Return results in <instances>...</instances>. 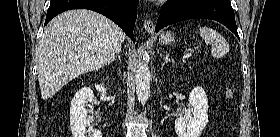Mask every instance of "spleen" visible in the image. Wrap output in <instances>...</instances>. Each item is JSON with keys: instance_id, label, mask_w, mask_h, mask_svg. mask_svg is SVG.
<instances>
[{"instance_id": "1", "label": "spleen", "mask_w": 280, "mask_h": 137, "mask_svg": "<svg viewBox=\"0 0 280 137\" xmlns=\"http://www.w3.org/2000/svg\"><path fill=\"white\" fill-rule=\"evenodd\" d=\"M199 34L207 44L211 45V54L213 57L222 58L229 53L230 48L228 42L216 30L204 26L199 28Z\"/></svg>"}]
</instances>
